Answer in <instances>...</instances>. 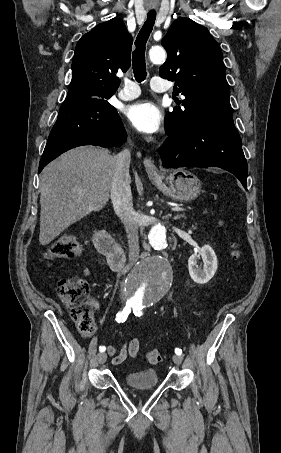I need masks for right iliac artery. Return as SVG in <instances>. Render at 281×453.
Returning a JSON list of instances; mask_svg holds the SVG:
<instances>
[{
	"mask_svg": "<svg viewBox=\"0 0 281 453\" xmlns=\"http://www.w3.org/2000/svg\"><path fill=\"white\" fill-rule=\"evenodd\" d=\"M131 307H132L131 305L126 304V306H125V308L123 309V311L117 313V315H116V321H117L118 323H120V322L123 323V322L126 321L128 315H129V313L131 312ZM99 350H100V352H104V351L106 350V347L100 346V347H99Z\"/></svg>",
	"mask_w": 281,
	"mask_h": 453,
	"instance_id": "obj_1",
	"label": "right iliac artery"
}]
</instances>
